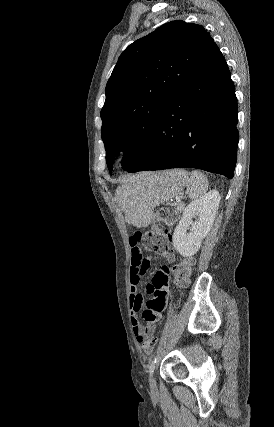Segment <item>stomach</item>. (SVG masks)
Wrapping results in <instances>:
<instances>
[{
    "instance_id": "obj_1",
    "label": "stomach",
    "mask_w": 274,
    "mask_h": 427,
    "mask_svg": "<svg viewBox=\"0 0 274 427\" xmlns=\"http://www.w3.org/2000/svg\"><path fill=\"white\" fill-rule=\"evenodd\" d=\"M188 182L185 170L140 174L133 178L132 182L119 188V194L122 196L121 204L125 208L126 215H131L135 225L145 227L151 221L153 208L178 196Z\"/></svg>"
}]
</instances>
